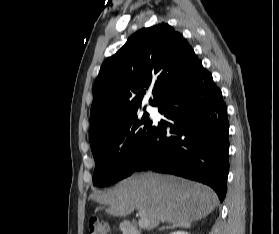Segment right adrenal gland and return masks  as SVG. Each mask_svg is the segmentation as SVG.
<instances>
[{
	"label": "right adrenal gland",
	"mask_w": 279,
	"mask_h": 234,
	"mask_svg": "<svg viewBox=\"0 0 279 234\" xmlns=\"http://www.w3.org/2000/svg\"><path fill=\"white\" fill-rule=\"evenodd\" d=\"M191 223H177V224H173L171 226H164V227H161L160 230L163 231L165 229H173L175 227H190Z\"/></svg>",
	"instance_id": "1"
}]
</instances>
